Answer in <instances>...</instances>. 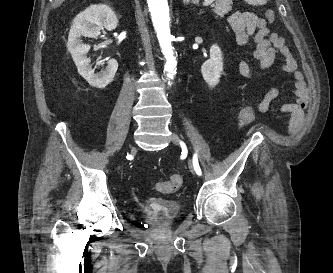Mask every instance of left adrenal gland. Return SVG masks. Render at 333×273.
I'll list each match as a JSON object with an SVG mask.
<instances>
[{
    "label": "left adrenal gland",
    "instance_id": "left-adrenal-gland-1",
    "mask_svg": "<svg viewBox=\"0 0 333 273\" xmlns=\"http://www.w3.org/2000/svg\"><path fill=\"white\" fill-rule=\"evenodd\" d=\"M184 5L189 3H193L194 5H198V0H183Z\"/></svg>",
    "mask_w": 333,
    "mask_h": 273
}]
</instances>
